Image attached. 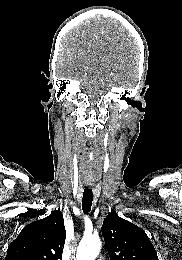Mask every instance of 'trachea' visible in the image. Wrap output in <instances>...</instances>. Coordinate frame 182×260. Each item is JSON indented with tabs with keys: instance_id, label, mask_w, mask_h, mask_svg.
<instances>
[{
	"instance_id": "trachea-1",
	"label": "trachea",
	"mask_w": 182,
	"mask_h": 260,
	"mask_svg": "<svg viewBox=\"0 0 182 260\" xmlns=\"http://www.w3.org/2000/svg\"><path fill=\"white\" fill-rule=\"evenodd\" d=\"M93 192L90 188H85L82 199V210L85 214H88L92 207Z\"/></svg>"
}]
</instances>
